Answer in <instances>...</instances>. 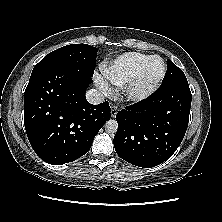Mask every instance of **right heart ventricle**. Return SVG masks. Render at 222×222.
Returning a JSON list of instances; mask_svg holds the SVG:
<instances>
[{
	"instance_id": "1",
	"label": "right heart ventricle",
	"mask_w": 222,
	"mask_h": 222,
	"mask_svg": "<svg viewBox=\"0 0 222 222\" xmlns=\"http://www.w3.org/2000/svg\"><path fill=\"white\" fill-rule=\"evenodd\" d=\"M151 55L128 52L103 65L105 78L116 86L126 85Z\"/></svg>"
}]
</instances>
